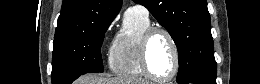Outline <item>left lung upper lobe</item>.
Here are the masks:
<instances>
[{
    "mask_svg": "<svg viewBox=\"0 0 260 84\" xmlns=\"http://www.w3.org/2000/svg\"><path fill=\"white\" fill-rule=\"evenodd\" d=\"M144 5L173 38L179 55L176 81L216 80L210 14L206 0H134Z\"/></svg>",
    "mask_w": 260,
    "mask_h": 84,
    "instance_id": "1",
    "label": "left lung upper lobe"
}]
</instances>
